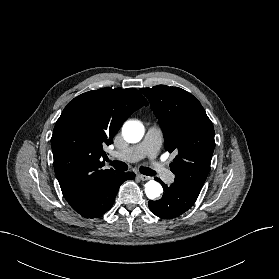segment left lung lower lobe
Instances as JSON below:
<instances>
[{
    "instance_id": "obj_1",
    "label": "left lung lower lobe",
    "mask_w": 279,
    "mask_h": 279,
    "mask_svg": "<svg viewBox=\"0 0 279 279\" xmlns=\"http://www.w3.org/2000/svg\"><path fill=\"white\" fill-rule=\"evenodd\" d=\"M158 181L162 184L165 193L160 200H150L148 205L153 214L164 219H173L185 213L200 193L175 183L168 187L160 179Z\"/></svg>"
}]
</instances>
